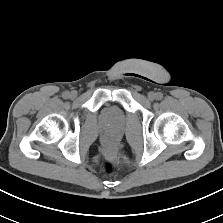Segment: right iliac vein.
<instances>
[{
	"mask_svg": "<svg viewBox=\"0 0 223 223\" xmlns=\"http://www.w3.org/2000/svg\"><path fill=\"white\" fill-rule=\"evenodd\" d=\"M70 97L71 98H76L77 97V92L76 91H72L71 93H70Z\"/></svg>",
	"mask_w": 223,
	"mask_h": 223,
	"instance_id": "right-iliac-vein-1",
	"label": "right iliac vein"
}]
</instances>
